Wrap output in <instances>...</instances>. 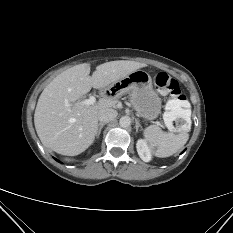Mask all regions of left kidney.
<instances>
[{"mask_svg": "<svg viewBox=\"0 0 233 233\" xmlns=\"http://www.w3.org/2000/svg\"><path fill=\"white\" fill-rule=\"evenodd\" d=\"M136 148H137V152H138L139 157L144 162L151 161L152 151L145 140L139 139L136 143Z\"/></svg>", "mask_w": 233, "mask_h": 233, "instance_id": "obj_1", "label": "left kidney"}]
</instances>
